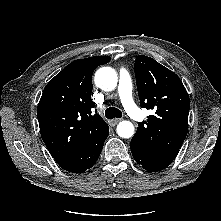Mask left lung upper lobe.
<instances>
[{
    "instance_id": "left-lung-upper-lobe-1",
    "label": "left lung upper lobe",
    "mask_w": 221,
    "mask_h": 221,
    "mask_svg": "<svg viewBox=\"0 0 221 221\" xmlns=\"http://www.w3.org/2000/svg\"><path fill=\"white\" fill-rule=\"evenodd\" d=\"M134 68L140 105L155 114L138 124L133 139L153 154L175 158L188 130V93L175 73L151 57L138 55Z\"/></svg>"
}]
</instances>
